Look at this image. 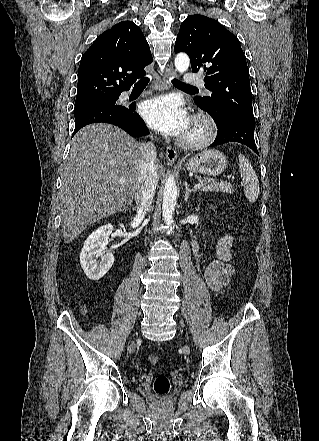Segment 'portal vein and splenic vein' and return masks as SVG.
<instances>
[{
	"mask_svg": "<svg viewBox=\"0 0 319 441\" xmlns=\"http://www.w3.org/2000/svg\"><path fill=\"white\" fill-rule=\"evenodd\" d=\"M119 182H120V183H123V182H124V179H123V178H120V179H119ZM202 187H203V184L200 183V184H196V185L194 186V189H195V190H197V189L199 190V189H201Z\"/></svg>",
	"mask_w": 319,
	"mask_h": 441,
	"instance_id": "1",
	"label": "portal vein and splenic vein"
}]
</instances>
